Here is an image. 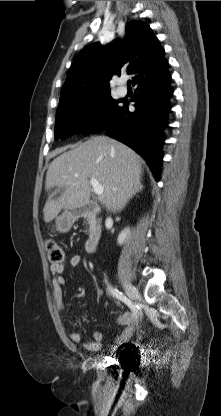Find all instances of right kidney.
<instances>
[{"mask_svg":"<svg viewBox=\"0 0 221 416\" xmlns=\"http://www.w3.org/2000/svg\"><path fill=\"white\" fill-rule=\"evenodd\" d=\"M130 234L129 228H125L118 236V244L122 245L126 239H128V236Z\"/></svg>","mask_w":221,"mask_h":416,"instance_id":"1","label":"right kidney"}]
</instances>
